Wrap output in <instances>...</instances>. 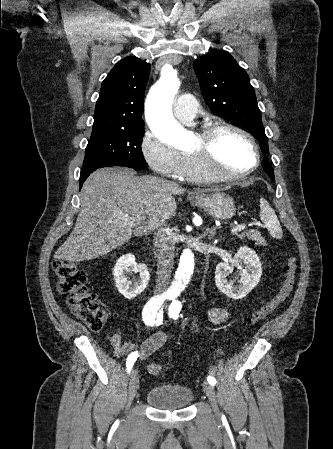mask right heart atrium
I'll return each mask as SVG.
<instances>
[{"instance_id": "d8ad5b80", "label": "right heart atrium", "mask_w": 333, "mask_h": 449, "mask_svg": "<svg viewBox=\"0 0 333 449\" xmlns=\"http://www.w3.org/2000/svg\"><path fill=\"white\" fill-rule=\"evenodd\" d=\"M140 150L143 159L158 175L171 179L180 178L183 167L182 155L152 132H145Z\"/></svg>"}]
</instances>
